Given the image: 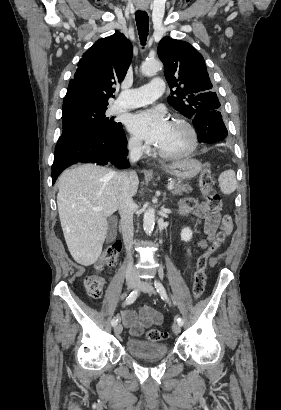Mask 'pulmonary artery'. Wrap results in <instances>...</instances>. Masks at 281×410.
I'll list each match as a JSON object with an SVG mask.
<instances>
[{
	"instance_id": "e3ab8cb5",
	"label": "pulmonary artery",
	"mask_w": 281,
	"mask_h": 410,
	"mask_svg": "<svg viewBox=\"0 0 281 410\" xmlns=\"http://www.w3.org/2000/svg\"><path fill=\"white\" fill-rule=\"evenodd\" d=\"M165 89L161 78H154L150 83L139 88L123 90L115 102L119 109H130L155 101Z\"/></svg>"
}]
</instances>
